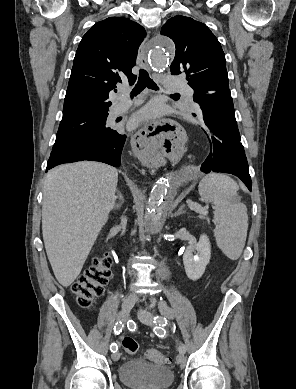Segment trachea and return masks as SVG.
Segmentation results:
<instances>
[{
    "label": "trachea",
    "mask_w": 296,
    "mask_h": 389,
    "mask_svg": "<svg viewBox=\"0 0 296 389\" xmlns=\"http://www.w3.org/2000/svg\"><path fill=\"white\" fill-rule=\"evenodd\" d=\"M146 87L152 90H158L157 84L150 78L148 72L144 69H140L138 82L131 92L132 96H136Z\"/></svg>",
    "instance_id": "obj_1"
}]
</instances>
